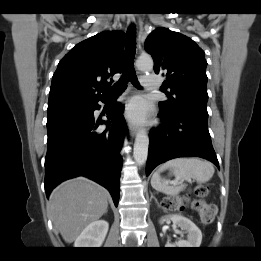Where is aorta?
Returning a JSON list of instances; mask_svg holds the SVG:
<instances>
[{
  "label": "aorta",
  "instance_id": "762f6f07",
  "mask_svg": "<svg viewBox=\"0 0 261 261\" xmlns=\"http://www.w3.org/2000/svg\"><path fill=\"white\" fill-rule=\"evenodd\" d=\"M136 66L141 71H151L153 69V60L150 56H141L136 61ZM149 137L145 130H139L134 142V160L137 165L145 164L148 156Z\"/></svg>",
  "mask_w": 261,
  "mask_h": 261
}]
</instances>
